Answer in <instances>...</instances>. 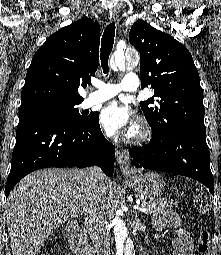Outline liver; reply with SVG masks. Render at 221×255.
Instances as JSON below:
<instances>
[{
  "label": "liver",
  "instance_id": "1",
  "mask_svg": "<svg viewBox=\"0 0 221 255\" xmlns=\"http://www.w3.org/2000/svg\"><path fill=\"white\" fill-rule=\"evenodd\" d=\"M97 186L104 189L105 197L107 181ZM92 191L90 168H49L24 177L6 203L13 255H36L58 226L85 213Z\"/></svg>",
  "mask_w": 221,
  "mask_h": 255
}]
</instances>
